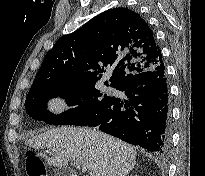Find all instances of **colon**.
<instances>
[{
  "instance_id": "5ec220e1",
  "label": "colon",
  "mask_w": 205,
  "mask_h": 176,
  "mask_svg": "<svg viewBox=\"0 0 205 176\" xmlns=\"http://www.w3.org/2000/svg\"><path fill=\"white\" fill-rule=\"evenodd\" d=\"M25 171L27 176H47L43 160L33 151L24 154Z\"/></svg>"
}]
</instances>
